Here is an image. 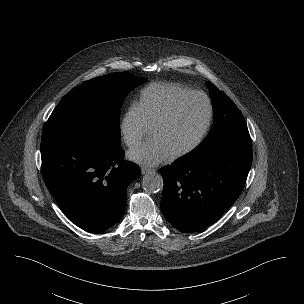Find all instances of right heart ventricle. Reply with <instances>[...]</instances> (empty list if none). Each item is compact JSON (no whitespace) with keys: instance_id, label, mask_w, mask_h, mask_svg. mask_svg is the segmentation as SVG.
<instances>
[{"instance_id":"obj_1","label":"right heart ventricle","mask_w":304,"mask_h":304,"mask_svg":"<svg viewBox=\"0 0 304 304\" xmlns=\"http://www.w3.org/2000/svg\"><path fill=\"white\" fill-rule=\"evenodd\" d=\"M190 91L191 89L176 83H152L140 91L136 103L151 128L178 97Z\"/></svg>"}]
</instances>
